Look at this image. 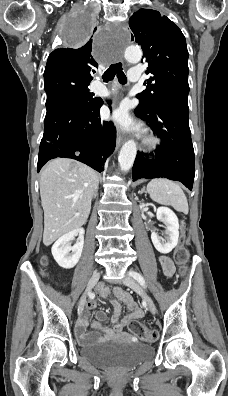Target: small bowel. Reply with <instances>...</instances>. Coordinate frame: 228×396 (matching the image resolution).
Here are the masks:
<instances>
[{
    "label": "small bowel",
    "mask_w": 228,
    "mask_h": 396,
    "mask_svg": "<svg viewBox=\"0 0 228 396\" xmlns=\"http://www.w3.org/2000/svg\"><path fill=\"white\" fill-rule=\"evenodd\" d=\"M159 262L162 266L165 276L172 277L175 272V267L171 259L166 256H160ZM98 293L103 298L109 299L113 306L111 322L114 324V326L112 328L104 326L102 322L106 319V313L104 311H98L96 313V321L91 324L93 332H86V328L89 326V313L96 307V302L94 300H90L86 304L82 317L75 326V333L80 343L86 344L113 337L133 339V337L126 333L124 329L130 321L142 318L144 316L143 310L140 309L133 298L121 288H116L111 291L107 287L100 286L98 288ZM119 301L125 303L127 308L130 310V314L124 317L120 322H118V318L121 313ZM99 333H102L103 336H100Z\"/></svg>",
    "instance_id": "1"
}]
</instances>
